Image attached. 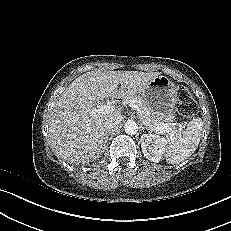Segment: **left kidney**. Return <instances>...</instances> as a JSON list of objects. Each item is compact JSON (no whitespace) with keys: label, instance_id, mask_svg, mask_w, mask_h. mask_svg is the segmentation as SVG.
<instances>
[{"label":"left kidney","instance_id":"5707ae66","mask_svg":"<svg viewBox=\"0 0 231 231\" xmlns=\"http://www.w3.org/2000/svg\"><path fill=\"white\" fill-rule=\"evenodd\" d=\"M144 156L152 162H159L162 158L165 140L158 135L143 134L140 139Z\"/></svg>","mask_w":231,"mask_h":231}]
</instances>
